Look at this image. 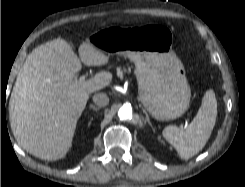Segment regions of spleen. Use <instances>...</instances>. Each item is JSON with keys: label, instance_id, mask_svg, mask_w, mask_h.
I'll use <instances>...</instances> for the list:
<instances>
[{"label": "spleen", "instance_id": "3e777b00", "mask_svg": "<svg viewBox=\"0 0 245 187\" xmlns=\"http://www.w3.org/2000/svg\"><path fill=\"white\" fill-rule=\"evenodd\" d=\"M217 117V101L213 90H208L197 115L186 130L170 125L164 128L163 137L176 149L182 159L196 155L206 145Z\"/></svg>", "mask_w": 245, "mask_h": 187}]
</instances>
